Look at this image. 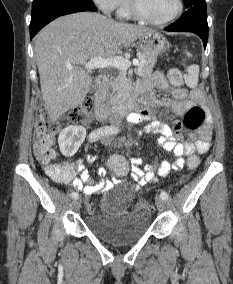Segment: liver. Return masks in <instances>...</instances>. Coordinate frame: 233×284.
<instances>
[{
	"instance_id": "1",
	"label": "liver",
	"mask_w": 233,
	"mask_h": 284,
	"mask_svg": "<svg viewBox=\"0 0 233 284\" xmlns=\"http://www.w3.org/2000/svg\"><path fill=\"white\" fill-rule=\"evenodd\" d=\"M147 31L153 30L88 12L60 17L44 27L36 36L34 54L51 121L86 98L92 78L81 66L95 57H115L120 46L128 47Z\"/></svg>"
}]
</instances>
